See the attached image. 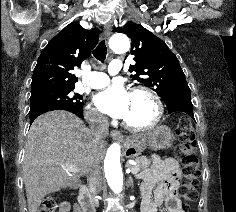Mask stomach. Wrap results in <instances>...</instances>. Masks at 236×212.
<instances>
[{
  "mask_svg": "<svg viewBox=\"0 0 236 212\" xmlns=\"http://www.w3.org/2000/svg\"><path fill=\"white\" fill-rule=\"evenodd\" d=\"M174 135L167 126L160 125L144 133L135 134L128 138L126 154L130 157L138 156L147 147L157 151L171 147Z\"/></svg>",
  "mask_w": 236,
  "mask_h": 212,
  "instance_id": "1",
  "label": "stomach"
}]
</instances>
